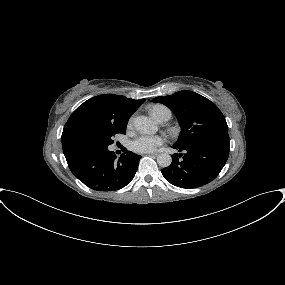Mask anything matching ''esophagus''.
<instances>
[{
    "mask_svg": "<svg viewBox=\"0 0 285 285\" xmlns=\"http://www.w3.org/2000/svg\"><path fill=\"white\" fill-rule=\"evenodd\" d=\"M147 155H149V156H158L159 153L158 152H154V153H148Z\"/></svg>",
    "mask_w": 285,
    "mask_h": 285,
    "instance_id": "34e87169",
    "label": "esophagus"
}]
</instances>
